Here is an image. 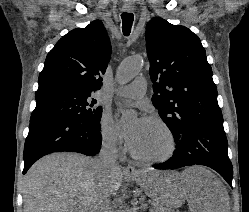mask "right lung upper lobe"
<instances>
[{
  "instance_id": "1",
  "label": "right lung upper lobe",
  "mask_w": 249,
  "mask_h": 212,
  "mask_svg": "<svg viewBox=\"0 0 249 212\" xmlns=\"http://www.w3.org/2000/svg\"><path fill=\"white\" fill-rule=\"evenodd\" d=\"M110 57V41L101 21L70 31L48 53L36 95L56 91L91 94L101 88Z\"/></svg>"
}]
</instances>
